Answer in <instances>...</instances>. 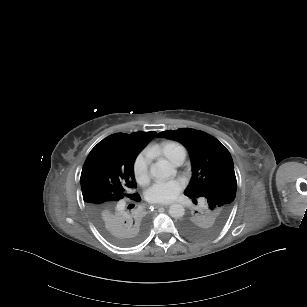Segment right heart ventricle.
Returning a JSON list of instances; mask_svg holds the SVG:
<instances>
[{"instance_id":"right-heart-ventricle-1","label":"right heart ventricle","mask_w":307,"mask_h":307,"mask_svg":"<svg viewBox=\"0 0 307 307\" xmlns=\"http://www.w3.org/2000/svg\"><path fill=\"white\" fill-rule=\"evenodd\" d=\"M167 149L168 150H182V151H185L187 154L186 146L176 140L170 141L167 145Z\"/></svg>"}]
</instances>
